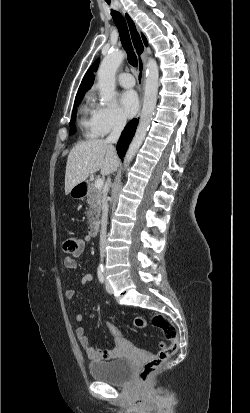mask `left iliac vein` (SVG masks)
Listing matches in <instances>:
<instances>
[{"mask_svg":"<svg viewBox=\"0 0 250 413\" xmlns=\"http://www.w3.org/2000/svg\"><path fill=\"white\" fill-rule=\"evenodd\" d=\"M105 286H106V291L109 293V294H112L113 293V289H112V287H111V285H110V283H109V281L106 279L105 280Z\"/></svg>","mask_w":250,"mask_h":413,"instance_id":"obj_1","label":"left iliac vein"}]
</instances>
